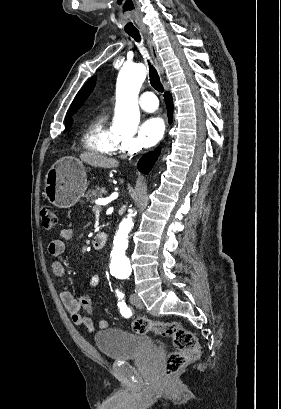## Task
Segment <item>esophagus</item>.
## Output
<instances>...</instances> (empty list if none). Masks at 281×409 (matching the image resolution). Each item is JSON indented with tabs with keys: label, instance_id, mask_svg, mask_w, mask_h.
I'll use <instances>...</instances> for the list:
<instances>
[{
	"label": "esophagus",
	"instance_id": "34e87169",
	"mask_svg": "<svg viewBox=\"0 0 281 409\" xmlns=\"http://www.w3.org/2000/svg\"><path fill=\"white\" fill-rule=\"evenodd\" d=\"M143 33H144V36H145V38H146V40H147V43H148V46H149V49H150L152 58H153V60H154V62H155V64H156V66H157L159 72H160L161 74H163L164 68H163V66H162V62H161L160 56H159V54H158L156 45H155V43H154L152 37H151L147 32H143Z\"/></svg>",
	"mask_w": 281,
	"mask_h": 409
}]
</instances>
